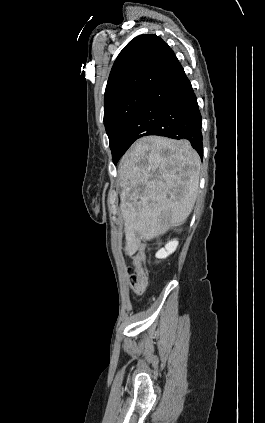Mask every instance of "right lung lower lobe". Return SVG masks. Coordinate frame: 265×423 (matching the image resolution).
I'll list each match as a JSON object with an SVG mask.
<instances>
[{"label":"right lung lower lobe","instance_id":"1","mask_svg":"<svg viewBox=\"0 0 265 423\" xmlns=\"http://www.w3.org/2000/svg\"><path fill=\"white\" fill-rule=\"evenodd\" d=\"M201 127L196 96L176 58L123 129L119 149L124 154L137 139L160 135L189 140L202 158Z\"/></svg>","mask_w":265,"mask_h":423}]
</instances>
